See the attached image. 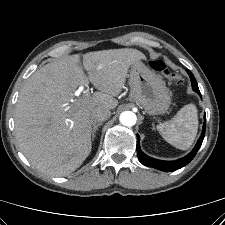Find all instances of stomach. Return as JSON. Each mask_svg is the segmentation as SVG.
<instances>
[{
  "instance_id": "0dacf381",
  "label": "stomach",
  "mask_w": 225,
  "mask_h": 225,
  "mask_svg": "<svg viewBox=\"0 0 225 225\" xmlns=\"http://www.w3.org/2000/svg\"><path fill=\"white\" fill-rule=\"evenodd\" d=\"M129 86L130 99L143 106L149 115H160L169 109L171 97L165 82L141 61L131 66Z\"/></svg>"
}]
</instances>
